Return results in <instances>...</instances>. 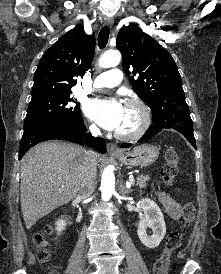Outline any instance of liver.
Masks as SVG:
<instances>
[{"instance_id":"obj_1","label":"liver","mask_w":221,"mask_h":274,"mask_svg":"<svg viewBox=\"0 0 221 274\" xmlns=\"http://www.w3.org/2000/svg\"><path fill=\"white\" fill-rule=\"evenodd\" d=\"M86 150L59 141L43 142L26 153L21 165V209L27 229L79 190Z\"/></svg>"}]
</instances>
